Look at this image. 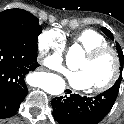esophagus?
<instances>
[{
    "mask_svg": "<svg viewBox=\"0 0 124 124\" xmlns=\"http://www.w3.org/2000/svg\"><path fill=\"white\" fill-rule=\"evenodd\" d=\"M69 92H70V93H73L74 91L70 89V91H69Z\"/></svg>",
    "mask_w": 124,
    "mask_h": 124,
    "instance_id": "obj_1",
    "label": "esophagus"
}]
</instances>
